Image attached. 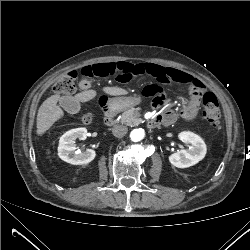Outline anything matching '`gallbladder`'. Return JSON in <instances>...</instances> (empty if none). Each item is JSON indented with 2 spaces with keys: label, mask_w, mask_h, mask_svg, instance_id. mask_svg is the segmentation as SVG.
<instances>
[{
  "label": "gallbladder",
  "mask_w": 250,
  "mask_h": 250,
  "mask_svg": "<svg viewBox=\"0 0 250 250\" xmlns=\"http://www.w3.org/2000/svg\"><path fill=\"white\" fill-rule=\"evenodd\" d=\"M60 105L65 111H67L70 114H77L81 110L80 103L75 100H71L69 98H62L60 100Z\"/></svg>",
  "instance_id": "gallbladder-1"
}]
</instances>
